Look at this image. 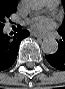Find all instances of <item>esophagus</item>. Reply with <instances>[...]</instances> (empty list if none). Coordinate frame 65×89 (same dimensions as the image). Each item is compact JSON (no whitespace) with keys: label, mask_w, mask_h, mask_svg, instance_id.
I'll use <instances>...</instances> for the list:
<instances>
[{"label":"esophagus","mask_w":65,"mask_h":89,"mask_svg":"<svg viewBox=\"0 0 65 89\" xmlns=\"http://www.w3.org/2000/svg\"><path fill=\"white\" fill-rule=\"evenodd\" d=\"M31 35L37 38L44 39L46 36L44 34L38 33V32H31Z\"/></svg>","instance_id":"esophagus-1"}]
</instances>
